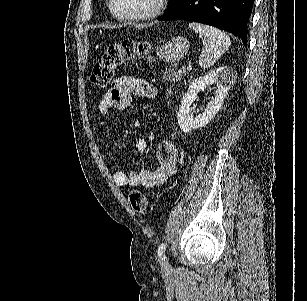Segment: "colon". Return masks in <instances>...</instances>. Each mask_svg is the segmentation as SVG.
I'll list each match as a JSON object with an SVG mask.
<instances>
[{"label": "colon", "mask_w": 307, "mask_h": 301, "mask_svg": "<svg viewBox=\"0 0 307 301\" xmlns=\"http://www.w3.org/2000/svg\"><path fill=\"white\" fill-rule=\"evenodd\" d=\"M136 57L145 59L149 63L153 62L148 43L124 40L110 44L93 67L90 78L92 83L99 87L107 86L114 77L116 67ZM129 202L136 212L142 213L147 210V197L139 190L129 193Z\"/></svg>", "instance_id": "5ec220e1"}]
</instances>
